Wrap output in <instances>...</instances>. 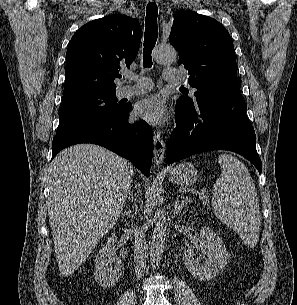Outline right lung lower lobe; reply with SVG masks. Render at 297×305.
Masks as SVG:
<instances>
[{"label": "right lung lower lobe", "mask_w": 297, "mask_h": 305, "mask_svg": "<svg viewBox=\"0 0 297 305\" xmlns=\"http://www.w3.org/2000/svg\"><path fill=\"white\" fill-rule=\"evenodd\" d=\"M131 105L114 116H98L79 122L57 133L52 142V159L64 148L79 143L103 146L132 162L149 176L153 153V137L144 121L128 122Z\"/></svg>", "instance_id": "right-lung-lower-lobe-1"}]
</instances>
